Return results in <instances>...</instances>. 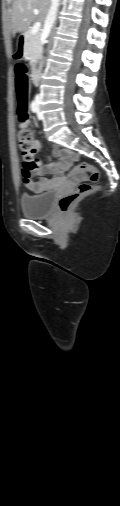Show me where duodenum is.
Returning a JSON list of instances; mask_svg holds the SVG:
<instances>
[{
	"instance_id": "1",
	"label": "duodenum",
	"mask_w": 120,
	"mask_h": 506,
	"mask_svg": "<svg viewBox=\"0 0 120 506\" xmlns=\"http://www.w3.org/2000/svg\"><path fill=\"white\" fill-rule=\"evenodd\" d=\"M20 45H17L15 47V56L17 58H24L26 56V46L23 45V42H24V39H23V36L20 37ZM39 75H40V66H39V63L36 62L33 64L32 66V71H31V77H32V80L33 81H37L39 79Z\"/></svg>"
}]
</instances>
